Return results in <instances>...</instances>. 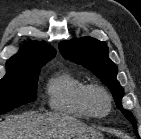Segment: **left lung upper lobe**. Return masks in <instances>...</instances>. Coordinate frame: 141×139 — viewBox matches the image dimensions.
Instances as JSON below:
<instances>
[{"mask_svg":"<svg viewBox=\"0 0 141 139\" xmlns=\"http://www.w3.org/2000/svg\"><path fill=\"white\" fill-rule=\"evenodd\" d=\"M62 55L77 64L92 71L105 83L113 94L117 107L136 128V122L131 112L122 108L123 88L116 79L117 66L108 58V47L105 42L92 37L72 39L59 44Z\"/></svg>","mask_w":141,"mask_h":139,"instance_id":"obj_1","label":"left lung upper lobe"}]
</instances>
